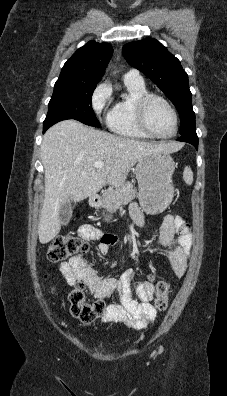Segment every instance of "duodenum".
<instances>
[{
	"instance_id": "obj_1",
	"label": "duodenum",
	"mask_w": 227,
	"mask_h": 396,
	"mask_svg": "<svg viewBox=\"0 0 227 396\" xmlns=\"http://www.w3.org/2000/svg\"><path fill=\"white\" fill-rule=\"evenodd\" d=\"M90 203L95 206L99 207L102 204L101 198L98 194H94L90 197Z\"/></svg>"
}]
</instances>
